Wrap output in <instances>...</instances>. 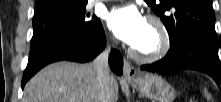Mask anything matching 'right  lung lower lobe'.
<instances>
[{"mask_svg": "<svg viewBox=\"0 0 221 102\" xmlns=\"http://www.w3.org/2000/svg\"><path fill=\"white\" fill-rule=\"evenodd\" d=\"M105 44L106 37L101 22L86 32H64L47 39L30 51L22 78V89L47 64L60 60L88 62L104 49ZM109 64L114 73L122 74L123 58L118 50H111Z\"/></svg>", "mask_w": 221, "mask_h": 102, "instance_id": "98d812e1", "label": "right lung lower lobe"}]
</instances>
